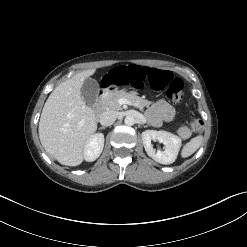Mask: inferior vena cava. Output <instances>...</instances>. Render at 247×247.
<instances>
[{"label":"inferior vena cava","mask_w":247,"mask_h":247,"mask_svg":"<svg viewBox=\"0 0 247 247\" xmlns=\"http://www.w3.org/2000/svg\"><path fill=\"white\" fill-rule=\"evenodd\" d=\"M117 118V114L114 111H105L100 115V123L103 126L112 125Z\"/></svg>","instance_id":"obj_1"}]
</instances>
